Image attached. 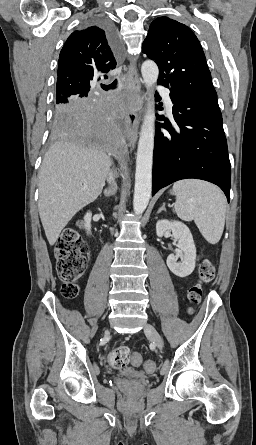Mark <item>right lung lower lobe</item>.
<instances>
[{"label":"right lung lower lobe","mask_w":256,"mask_h":445,"mask_svg":"<svg viewBox=\"0 0 256 445\" xmlns=\"http://www.w3.org/2000/svg\"><path fill=\"white\" fill-rule=\"evenodd\" d=\"M107 33L117 49L114 30L106 22L98 23ZM116 106L114 100L89 97L77 100L55 117V127L74 142L91 145L114 157L126 153V144L113 119Z\"/></svg>","instance_id":"right-lung-lower-lobe-1"}]
</instances>
